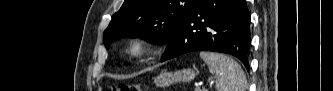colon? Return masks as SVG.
<instances>
[{
	"label": "colon",
	"mask_w": 333,
	"mask_h": 91,
	"mask_svg": "<svg viewBox=\"0 0 333 91\" xmlns=\"http://www.w3.org/2000/svg\"><path fill=\"white\" fill-rule=\"evenodd\" d=\"M110 91H140V87L138 85H128V84H111Z\"/></svg>",
	"instance_id": "obj_1"
}]
</instances>
